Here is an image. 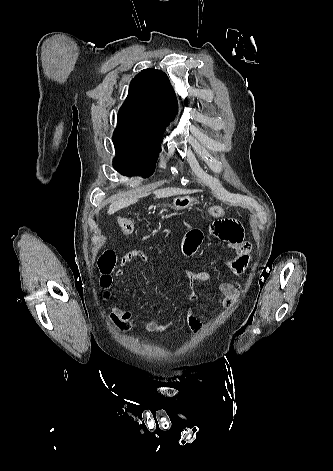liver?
<instances>
[{
    "instance_id": "liver-1",
    "label": "liver",
    "mask_w": 333,
    "mask_h": 471,
    "mask_svg": "<svg viewBox=\"0 0 333 471\" xmlns=\"http://www.w3.org/2000/svg\"><path fill=\"white\" fill-rule=\"evenodd\" d=\"M195 192V190H185L180 188L168 187L154 191L155 197L157 199L171 197L175 195L188 194ZM146 194L133 195L130 197H119L117 200L112 199L111 204L108 208V214H113L118 210L126 208L132 204H135L140 197L145 196Z\"/></svg>"
}]
</instances>
